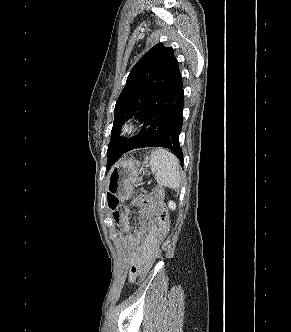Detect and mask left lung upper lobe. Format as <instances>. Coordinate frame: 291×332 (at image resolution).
<instances>
[{
	"instance_id": "5c2ea615",
	"label": "left lung upper lobe",
	"mask_w": 291,
	"mask_h": 332,
	"mask_svg": "<svg viewBox=\"0 0 291 332\" xmlns=\"http://www.w3.org/2000/svg\"><path fill=\"white\" fill-rule=\"evenodd\" d=\"M177 69L173 49L162 43L152 47L132 68L115 105L108 160L129 141L119 137L122 123L132 117L141 120L151 100L164 89Z\"/></svg>"
}]
</instances>
